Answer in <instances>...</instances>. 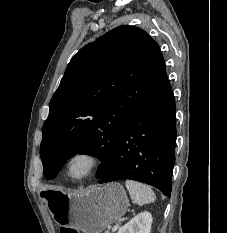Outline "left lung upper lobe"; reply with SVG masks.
<instances>
[{"instance_id": "left-lung-upper-lobe-1", "label": "left lung upper lobe", "mask_w": 227, "mask_h": 233, "mask_svg": "<svg viewBox=\"0 0 227 233\" xmlns=\"http://www.w3.org/2000/svg\"><path fill=\"white\" fill-rule=\"evenodd\" d=\"M167 82L160 48L145 31L120 26L84 46L68 64L43 125L41 159L53 179L77 153L98 156L100 178L133 114Z\"/></svg>"}]
</instances>
